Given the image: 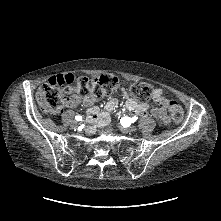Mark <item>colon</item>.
Masks as SVG:
<instances>
[{
    "label": "colon",
    "mask_w": 221,
    "mask_h": 221,
    "mask_svg": "<svg viewBox=\"0 0 221 221\" xmlns=\"http://www.w3.org/2000/svg\"><path fill=\"white\" fill-rule=\"evenodd\" d=\"M118 85V78L111 75L100 76L96 79L79 78L75 83L52 85L50 82L42 85L38 91L37 101L46 112H58L70 98L73 97H102L111 94ZM131 95L138 101L146 102L153 97L152 87L144 82H136L130 87ZM169 111L172 120L180 123L183 111L180 105L170 100Z\"/></svg>",
    "instance_id": "1"
}]
</instances>
